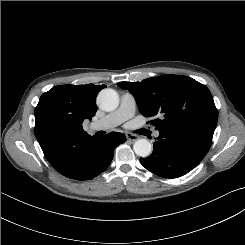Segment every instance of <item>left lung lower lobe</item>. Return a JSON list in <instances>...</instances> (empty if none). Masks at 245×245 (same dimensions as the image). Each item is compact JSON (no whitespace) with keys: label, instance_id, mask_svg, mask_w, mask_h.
<instances>
[{"label":"left lung lower lobe","instance_id":"0a47b994","mask_svg":"<svg viewBox=\"0 0 245 245\" xmlns=\"http://www.w3.org/2000/svg\"><path fill=\"white\" fill-rule=\"evenodd\" d=\"M213 135L192 128L159 130L153 153L140 158L150 172L163 178H177L194 169L207 154Z\"/></svg>","mask_w":245,"mask_h":245}]
</instances>
